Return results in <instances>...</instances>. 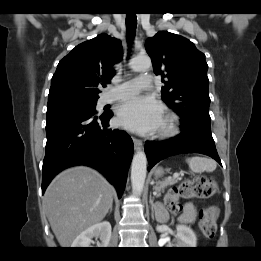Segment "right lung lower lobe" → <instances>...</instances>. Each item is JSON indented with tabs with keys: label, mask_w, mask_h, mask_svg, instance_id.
Listing matches in <instances>:
<instances>
[{
	"label": "right lung lower lobe",
	"mask_w": 261,
	"mask_h": 261,
	"mask_svg": "<svg viewBox=\"0 0 261 261\" xmlns=\"http://www.w3.org/2000/svg\"><path fill=\"white\" fill-rule=\"evenodd\" d=\"M112 116L111 112L96 116L74 111L47 116L42 194L60 171L86 165L101 172L116 187L121 198L133 142L125 131L108 128Z\"/></svg>",
	"instance_id": "98d812e1"
}]
</instances>
